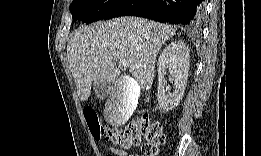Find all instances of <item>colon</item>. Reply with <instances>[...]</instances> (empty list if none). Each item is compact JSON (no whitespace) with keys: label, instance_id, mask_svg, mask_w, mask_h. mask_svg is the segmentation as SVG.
<instances>
[{"label":"colon","instance_id":"1","mask_svg":"<svg viewBox=\"0 0 261 156\" xmlns=\"http://www.w3.org/2000/svg\"><path fill=\"white\" fill-rule=\"evenodd\" d=\"M84 114L95 138L105 137L123 149L138 145L141 135H144L146 143L143 145V154L153 156L158 154L159 147L164 142L161 124L158 121H152L148 112H143L137 121L118 131L106 130L100 124L99 117L93 109H87Z\"/></svg>","mask_w":261,"mask_h":156}]
</instances>
